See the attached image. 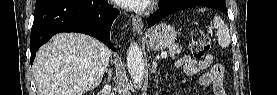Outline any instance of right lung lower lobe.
Segmentation results:
<instances>
[{
	"label": "right lung lower lobe",
	"instance_id": "98d812e1",
	"mask_svg": "<svg viewBox=\"0 0 277 95\" xmlns=\"http://www.w3.org/2000/svg\"><path fill=\"white\" fill-rule=\"evenodd\" d=\"M119 10L107 0H36L31 29V64L36 51L53 35L79 32L93 36L111 48L110 28Z\"/></svg>",
	"mask_w": 277,
	"mask_h": 95
}]
</instances>
